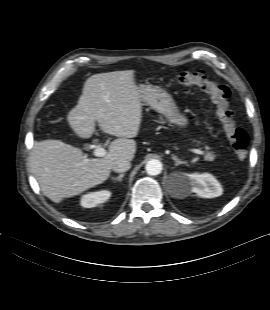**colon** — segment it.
Listing matches in <instances>:
<instances>
[{
	"instance_id": "obj_1",
	"label": "colon",
	"mask_w": 270,
	"mask_h": 310,
	"mask_svg": "<svg viewBox=\"0 0 270 310\" xmlns=\"http://www.w3.org/2000/svg\"><path fill=\"white\" fill-rule=\"evenodd\" d=\"M178 82L184 87H197L205 92L216 106V114L220 119L228 141L240 160L248 155L249 137L237 126L229 106L230 92L227 87L210 79L201 72H185L179 75Z\"/></svg>"
}]
</instances>
